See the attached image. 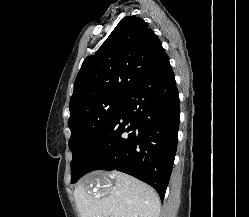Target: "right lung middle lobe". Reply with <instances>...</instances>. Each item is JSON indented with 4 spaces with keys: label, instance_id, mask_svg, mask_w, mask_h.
Returning a JSON list of instances; mask_svg holds the SVG:
<instances>
[{
    "label": "right lung middle lobe",
    "instance_id": "1",
    "mask_svg": "<svg viewBox=\"0 0 249 217\" xmlns=\"http://www.w3.org/2000/svg\"><path fill=\"white\" fill-rule=\"evenodd\" d=\"M124 99L125 96H103L83 103L70 112L68 125L71 130L69 148L73 154L72 183L83 176L80 167L87 153L115 118Z\"/></svg>",
    "mask_w": 249,
    "mask_h": 217
}]
</instances>
